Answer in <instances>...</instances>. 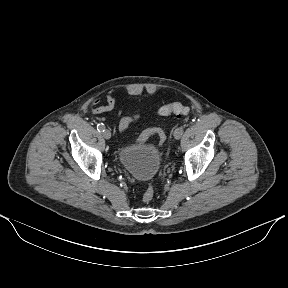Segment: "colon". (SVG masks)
I'll return each instance as SVG.
<instances>
[{
    "mask_svg": "<svg viewBox=\"0 0 288 288\" xmlns=\"http://www.w3.org/2000/svg\"><path fill=\"white\" fill-rule=\"evenodd\" d=\"M189 112H190L189 107L184 106L183 104H181L179 102H175V103H171V104L162 106L161 108H159L157 110L156 113L159 116H166V115H169L171 113H174L177 115H187ZM139 117H140V114H134V115H129V116L123 117L121 122H120V127L123 130H126L128 128V126L134 120L138 119ZM151 136H156L158 138L160 146L163 145V143L166 140V134L161 128L151 127V128H148L142 132L138 141L143 142ZM153 197H154V188L152 185H149L147 187V189L145 190L142 199L145 203H149L153 199Z\"/></svg>",
    "mask_w": 288,
    "mask_h": 288,
    "instance_id": "colon-1",
    "label": "colon"
}]
</instances>
